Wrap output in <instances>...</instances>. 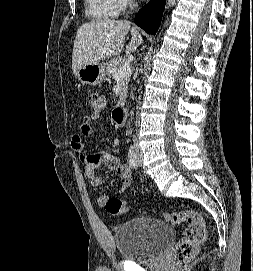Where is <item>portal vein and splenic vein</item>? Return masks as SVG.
Instances as JSON below:
<instances>
[{
    "mask_svg": "<svg viewBox=\"0 0 253 271\" xmlns=\"http://www.w3.org/2000/svg\"><path fill=\"white\" fill-rule=\"evenodd\" d=\"M130 73H131L130 63H124L121 67L118 68V78H122Z\"/></svg>",
    "mask_w": 253,
    "mask_h": 271,
    "instance_id": "18ae733b",
    "label": "portal vein and splenic vein"
}]
</instances>
